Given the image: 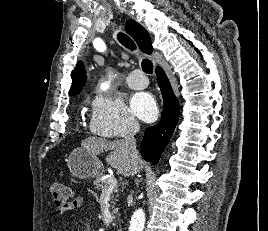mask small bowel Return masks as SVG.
Here are the masks:
<instances>
[{"mask_svg":"<svg viewBox=\"0 0 268 231\" xmlns=\"http://www.w3.org/2000/svg\"><path fill=\"white\" fill-rule=\"evenodd\" d=\"M83 202L84 200L82 197H76L72 202L68 204L67 208H56L54 211L55 215L57 217H62L67 212H69L70 216H74V212L83 206Z\"/></svg>","mask_w":268,"mask_h":231,"instance_id":"obj_1","label":"small bowel"}]
</instances>
